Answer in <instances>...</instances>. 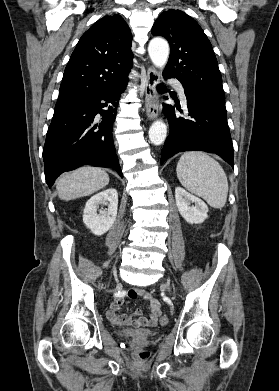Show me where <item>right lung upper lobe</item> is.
Segmentation results:
<instances>
[{
  "label": "right lung upper lobe",
  "instance_id": "cb5924a9",
  "mask_svg": "<svg viewBox=\"0 0 279 391\" xmlns=\"http://www.w3.org/2000/svg\"><path fill=\"white\" fill-rule=\"evenodd\" d=\"M131 45V31L121 16L99 19L73 51L57 103L93 96L126 82L132 67Z\"/></svg>",
  "mask_w": 279,
  "mask_h": 391
}]
</instances>
